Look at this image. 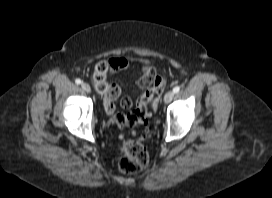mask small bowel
I'll return each instance as SVG.
<instances>
[{
  "label": "small bowel",
  "mask_w": 272,
  "mask_h": 198,
  "mask_svg": "<svg viewBox=\"0 0 272 198\" xmlns=\"http://www.w3.org/2000/svg\"><path fill=\"white\" fill-rule=\"evenodd\" d=\"M133 61H136L139 63L142 71V76L138 81V86L143 89V93L140 96V99L150 97L153 99V96L157 94L164 86V82L162 86L156 87L155 85L151 88H143L139 85L141 80L148 79V78H155L157 77L154 69L150 65V63L145 59H132ZM110 64L112 66L113 72H119L123 71L128 66V60L125 58H114L110 61ZM159 78V77H157ZM161 79V78H160ZM162 80V79H161ZM163 81V80H162ZM121 94L120 87L117 85H113L111 88V91L104 95L103 102H104V108L107 114H112L115 110V102L119 98ZM120 104L123 108H130L132 106V98L130 96H124L120 100Z\"/></svg>",
  "instance_id": "c3829d8e"
}]
</instances>
